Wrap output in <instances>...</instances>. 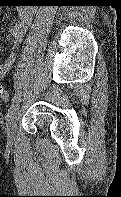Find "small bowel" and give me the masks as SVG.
<instances>
[{
	"instance_id": "obj_1",
	"label": "small bowel",
	"mask_w": 121,
	"mask_h": 197,
	"mask_svg": "<svg viewBox=\"0 0 121 197\" xmlns=\"http://www.w3.org/2000/svg\"><path fill=\"white\" fill-rule=\"evenodd\" d=\"M1 14V11H0ZM33 18V11L29 8H21L18 11V21L10 30L11 49L9 56L0 60V79L4 78L11 70L15 61V50L21 43L24 34L27 32Z\"/></svg>"
}]
</instances>
